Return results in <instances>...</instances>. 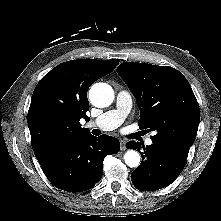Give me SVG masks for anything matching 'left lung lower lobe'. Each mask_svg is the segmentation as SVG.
<instances>
[{"mask_svg":"<svg viewBox=\"0 0 221 221\" xmlns=\"http://www.w3.org/2000/svg\"><path fill=\"white\" fill-rule=\"evenodd\" d=\"M126 147L141 153L142 163L131 174L134 186L140 191H155L171 184L183 170L187 157H184L166 145L153 142L150 146L128 142Z\"/></svg>","mask_w":221,"mask_h":221,"instance_id":"left-lung-lower-lobe-1","label":"left lung lower lobe"}]
</instances>
